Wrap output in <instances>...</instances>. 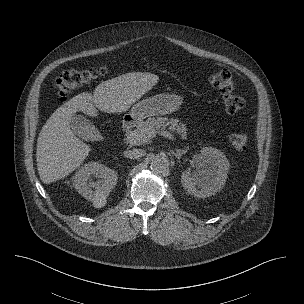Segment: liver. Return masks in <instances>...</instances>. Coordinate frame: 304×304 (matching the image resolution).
<instances>
[{"label":"liver","instance_id":"liver-1","mask_svg":"<svg viewBox=\"0 0 304 304\" xmlns=\"http://www.w3.org/2000/svg\"><path fill=\"white\" fill-rule=\"evenodd\" d=\"M158 81L157 75L148 72L123 74L99 84L93 94L80 93L57 108L37 139L36 161L42 182L50 184L66 177L82 164L91 150L71 130V118L76 112L91 117H96L98 110L125 112Z\"/></svg>","mask_w":304,"mask_h":304}]
</instances>
